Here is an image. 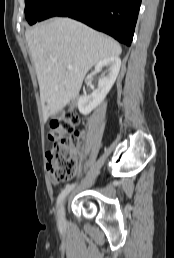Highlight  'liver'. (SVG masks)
<instances>
[{"instance_id": "1", "label": "liver", "mask_w": 174, "mask_h": 258, "mask_svg": "<svg viewBox=\"0 0 174 258\" xmlns=\"http://www.w3.org/2000/svg\"><path fill=\"white\" fill-rule=\"evenodd\" d=\"M25 36L36 68L45 121L77 96L93 65L122 52L112 38L69 18L51 19L26 31ZM67 65L73 69L68 70Z\"/></svg>"}]
</instances>
